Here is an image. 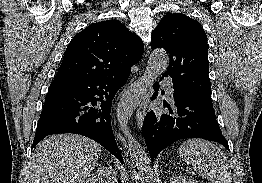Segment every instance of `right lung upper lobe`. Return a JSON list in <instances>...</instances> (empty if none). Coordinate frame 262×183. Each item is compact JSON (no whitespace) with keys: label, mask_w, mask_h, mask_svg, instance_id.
Wrapping results in <instances>:
<instances>
[{"label":"right lung upper lobe","mask_w":262,"mask_h":183,"mask_svg":"<svg viewBox=\"0 0 262 183\" xmlns=\"http://www.w3.org/2000/svg\"><path fill=\"white\" fill-rule=\"evenodd\" d=\"M143 49L140 37L121 22L93 23L72 39L52 83L124 74L141 59Z\"/></svg>","instance_id":"right-lung-upper-lobe-1"}]
</instances>
